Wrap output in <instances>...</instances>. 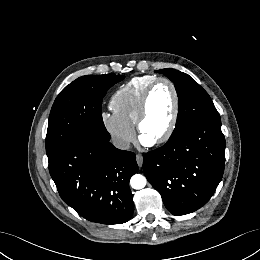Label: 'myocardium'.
Segmentation results:
<instances>
[{
	"mask_svg": "<svg viewBox=\"0 0 260 260\" xmlns=\"http://www.w3.org/2000/svg\"><path fill=\"white\" fill-rule=\"evenodd\" d=\"M165 83L167 84L173 93L174 96V109H173V113H172V117H171V121L170 124L167 128V130L164 132V134L162 136H160L159 138H157L156 140L152 141L151 144H163L165 142H167L173 135L177 123H178V119H179V113H180V96H179V92L175 86V84L167 79V78H157L146 90L145 94L143 95L141 104H140V108H139V112H138V116H137V120H136V129L137 132L140 136V138L142 137V124L144 119L146 118V115L148 113V107H149V102H150V98L152 93L154 92L155 88L159 85Z\"/></svg>",
	"mask_w": 260,
	"mask_h": 260,
	"instance_id": "f54148a6",
	"label": "myocardium"
}]
</instances>
